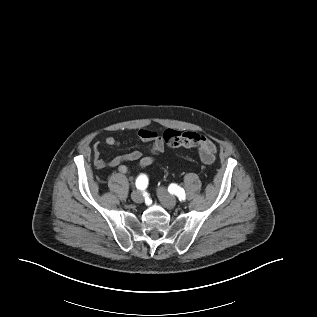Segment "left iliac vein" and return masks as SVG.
Segmentation results:
<instances>
[{"instance_id": "obj_1", "label": "left iliac vein", "mask_w": 317, "mask_h": 317, "mask_svg": "<svg viewBox=\"0 0 317 317\" xmlns=\"http://www.w3.org/2000/svg\"><path fill=\"white\" fill-rule=\"evenodd\" d=\"M157 196L165 208L171 209L175 207L176 198L171 195L165 187H159L157 189Z\"/></svg>"}]
</instances>
